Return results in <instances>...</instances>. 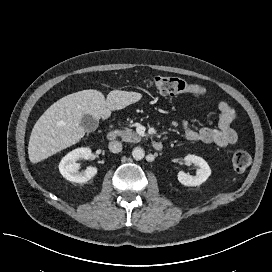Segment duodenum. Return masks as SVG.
<instances>
[{
	"label": "duodenum",
	"instance_id": "1",
	"mask_svg": "<svg viewBox=\"0 0 272 272\" xmlns=\"http://www.w3.org/2000/svg\"><path fill=\"white\" fill-rule=\"evenodd\" d=\"M116 138H117V131H116V129L110 128V129L107 131V139H108L109 141H113V140H115ZM152 147H153L154 150L160 151V150H162V148H163V144H162V142H160V141H154V142L152 143Z\"/></svg>",
	"mask_w": 272,
	"mask_h": 272
}]
</instances>
